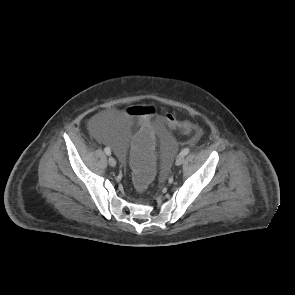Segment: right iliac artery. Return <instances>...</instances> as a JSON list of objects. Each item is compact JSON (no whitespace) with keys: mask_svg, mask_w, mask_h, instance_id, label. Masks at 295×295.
Instances as JSON below:
<instances>
[{"mask_svg":"<svg viewBox=\"0 0 295 295\" xmlns=\"http://www.w3.org/2000/svg\"><path fill=\"white\" fill-rule=\"evenodd\" d=\"M104 151H105V153H106L107 155H110V154H111V150H110L109 147H105Z\"/></svg>","mask_w":295,"mask_h":295,"instance_id":"obj_1","label":"right iliac artery"}]
</instances>
